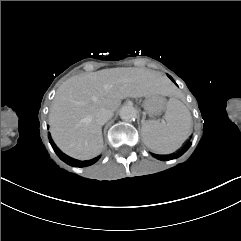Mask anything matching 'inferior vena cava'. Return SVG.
<instances>
[{"mask_svg": "<svg viewBox=\"0 0 241 241\" xmlns=\"http://www.w3.org/2000/svg\"><path fill=\"white\" fill-rule=\"evenodd\" d=\"M112 116H113L112 111L107 109H102L97 113L95 119L99 125H104Z\"/></svg>", "mask_w": 241, "mask_h": 241, "instance_id": "inferior-vena-cava-1", "label": "inferior vena cava"}]
</instances>
